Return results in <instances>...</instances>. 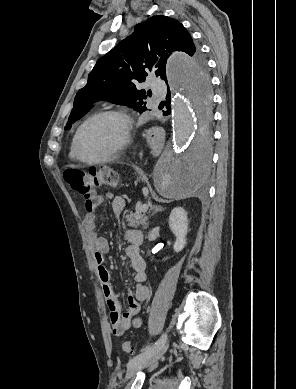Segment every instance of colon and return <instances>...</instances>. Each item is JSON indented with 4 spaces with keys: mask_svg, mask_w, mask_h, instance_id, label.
Instances as JSON below:
<instances>
[{
    "mask_svg": "<svg viewBox=\"0 0 296 389\" xmlns=\"http://www.w3.org/2000/svg\"><path fill=\"white\" fill-rule=\"evenodd\" d=\"M64 179L74 191L84 197H88L95 187H114L119 181L118 174L108 167L91 169L88 171L76 169L67 170L64 173ZM122 350L125 353H132L133 346L131 342L124 341L122 343Z\"/></svg>",
    "mask_w": 296,
    "mask_h": 389,
    "instance_id": "colon-1",
    "label": "colon"
}]
</instances>
